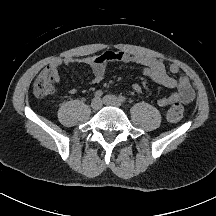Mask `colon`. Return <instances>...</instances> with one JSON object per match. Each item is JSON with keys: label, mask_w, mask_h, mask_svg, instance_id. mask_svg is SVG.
<instances>
[{"label": "colon", "mask_w": 216, "mask_h": 216, "mask_svg": "<svg viewBox=\"0 0 216 216\" xmlns=\"http://www.w3.org/2000/svg\"><path fill=\"white\" fill-rule=\"evenodd\" d=\"M54 90V76L49 71H43L35 79L32 92L36 98H44L50 95ZM184 116V108L181 104L176 103L167 111V120L171 123L181 121Z\"/></svg>", "instance_id": "1"}]
</instances>
